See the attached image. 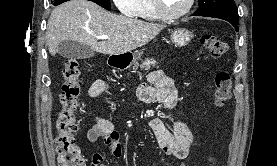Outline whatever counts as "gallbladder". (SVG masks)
I'll return each mask as SVG.
<instances>
[{"mask_svg": "<svg viewBox=\"0 0 277 166\" xmlns=\"http://www.w3.org/2000/svg\"><path fill=\"white\" fill-rule=\"evenodd\" d=\"M58 53L66 58L87 59L94 56L91 47L76 41L64 40L58 46Z\"/></svg>", "mask_w": 277, "mask_h": 166, "instance_id": "gallbladder-1", "label": "gallbladder"}]
</instances>
